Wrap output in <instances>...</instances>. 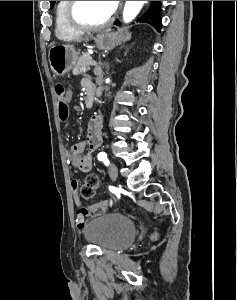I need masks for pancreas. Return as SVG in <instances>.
Masks as SVG:
<instances>
[{
  "label": "pancreas",
  "mask_w": 237,
  "mask_h": 300,
  "mask_svg": "<svg viewBox=\"0 0 237 300\" xmlns=\"http://www.w3.org/2000/svg\"><path fill=\"white\" fill-rule=\"evenodd\" d=\"M92 60L93 59H91L90 55H87V53H84V55H81V57H79L76 65L73 69L74 75H83V73H86V71H89L90 65H88L87 63Z\"/></svg>",
  "instance_id": "cf45deb5"
}]
</instances>
